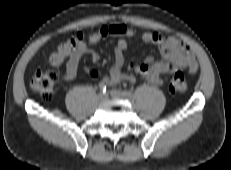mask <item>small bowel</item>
I'll use <instances>...</instances> for the list:
<instances>
[{
	"label": "small bowel",
	"instance_id": "obj_1",
	"mask_svg": "<svg viewBox=\"0 0 231 170\" xmlns=\"http://www.w3.org/2000/svg\"><path fill=\"white\" fill-rule=\"evenodd\" d=\"M108 36H116L117 42L114 50V64L108 73L100 76V83L105 85L116 84L123 80L134 83L136 80L134 73L152 84L163 85L161 77L163 74L173 73L180 69H187L193 74L198 69L194 54L182 41L158 31H146L141 36L142 41L157 45L162 59L157 61L152 56H148L142 64H131L128 71L124 72L125 51L129 42L135 38L136 31L124 24H113L100 27L86 41L82 39L78 41L76 49L67 60L64 79L71 80L76 76L82 57L89 55L93 62L99 61L100 56L92 49V46Z\"/></svg>",
	"mask_w": 231,
	"mask_h": 170
}]
</instances>
